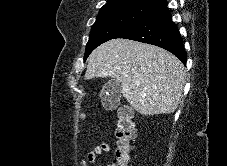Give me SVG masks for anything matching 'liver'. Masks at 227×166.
<instances>
[{
	"label": "liver",
	"instance_id": "1",
	"mask_svg": "<svg viewBox=\"0 0 227 166\" xmlns=\"http://www.w3.org/2000/svg\"><path fill=\"white\" fill-rule=\"evenodd\" d=\"M85 79L112 77L140 114H170L179 106L186 71L181 61L160 47L112 39L88 57Z\"/></svg>",
	"mask_w": 227,
	"mask_h": 166
}]
</instances>
